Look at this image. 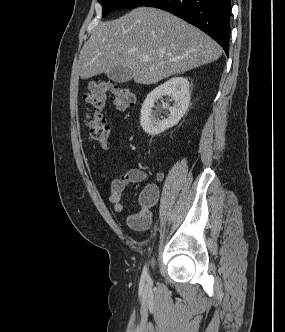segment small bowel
I'll return each instance as SVG.
<instances>
[{"instance_id":"1","label":"small bowel","mask_w":285,"mask_h":332,"mask_svg":"<svg viewBox=\"0 0 285 332\" xmlns=\"http://www.w3.org/2000/svg\"><path fill=\"white\" fill-rule=\"evenodd\" d=\"M148 175L145 171L138 168H126L121 175L111 181L109 201L113 205L115 212L119 213L124 210L125 202L123 198L127 185L131 183H140L146 181ZM164 178L162 172L156 174V181L161 182ZM159 198V188L156 184L151 183L145 186L139 196L141 210L129 216L128 223L134 229H145L151 221L150 208L153 207Z\"/></svg>"}]
</instances>
